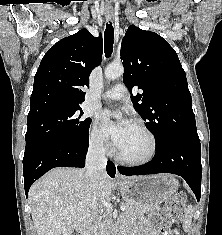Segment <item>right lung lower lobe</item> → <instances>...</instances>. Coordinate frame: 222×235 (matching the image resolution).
Here are the masks:
<instances>
[{
	"label": "right lung lower lobe",
	"mask_w": 222,
	"mask_h": 235,
	"mask_svg": "<svg viewBox=\"0 0 222 235\" xmlns=\"http://www.w3.org/2000/svg\"><path fill=\"white\" fill-rule=\"evenodd\" d=\"M89 142L85 144L50 143L38 146L24 154V188L26 196L30 186L43 174L54 167L85 166ZM115 166L107 162V173L115 176Z\"/></svg>",
	"instance_id": "98d812e1"
}]
</instances>
